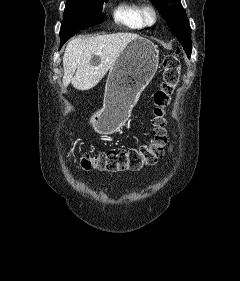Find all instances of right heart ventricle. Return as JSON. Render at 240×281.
<instances>
[{
	"instance_id": "obj_1",
	"label": "right heart ventricle",
	"mask_w": 240,
	"mask_h": 281,
	"mask_svg": "<svg viewBox=\"0 0 240 281\" xmlns=\"http://www.w3.org/2000/svg\"><path fill=\"white\" fill-rule=\"evenodd\" d=\"M141 5L136 1H124L113 11L114 21L128 29L138 30L145 27L140 15Z\"/></svg>"
}]
</instances>
